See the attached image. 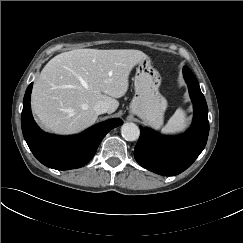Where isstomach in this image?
<instances>
[{
    "label": "stomach",
    "instance_id": "0dacf381",
    "mask_svg": "<svg viewBox=\"0 0 243 243\" xmlns=\"http://www.w3.org/2000/svg\"><path fill=\"white\" fill-rule=\"evenodd\" d=\"M161 76L151 65L147 56L138 63L134 77L135 96L130 104L129 111L139 116L154 128L163 124L164 113L167 109V100L159 92Z\"/></svg>",
    "mask_w": 243,
    "mask_h": 243
}]
</instances>
